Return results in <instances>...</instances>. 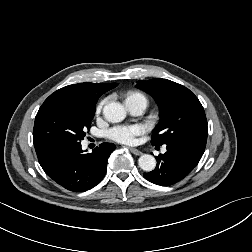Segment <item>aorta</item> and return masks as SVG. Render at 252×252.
<instances>
[{
    "instance_id": "1",
    "label": "aorta",
    "mask_w": 252,
    "mask_h": 252,
    "mask_svg": "<svg viewBox=\"0 0 252 252\" xmlns=\"http://www.w3.org/2000/svg\"><path fill=\"white\" fill-rule=\"evenodd\" d=\"M103 115L107 121L117 123L125 119L126 111L121 103L110 102L104 106ZM138 165L142 170L150 172L156 167V159L150 154H143L138 160Z\"/></svg>"
}]
</instances>
